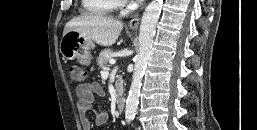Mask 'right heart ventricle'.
<instances>
[{
	"mask_svg": "<svg viewBox=\"0 0 257 130\" xmlns=\"http://www.w3.org/2000/svg\"><path fill=\"white\" fill-rule=\"evenodd\" d=\"M83 10L92 15H109L120 5V0H82Z\"/></svg>",
	"mask_w": 257,
	"mask_h": 130,
	"instance_id": "1",
	"label": "right heart ventricle"
}]
</instances>
